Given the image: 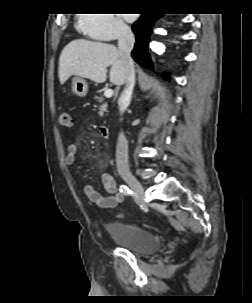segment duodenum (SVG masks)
<instances>
[{
    "label": "duodenum",
    "mask_w": 252,
    "mask_h": 303,
    "mask_svg": "<svg viewBox=\"0 0 252 303\" xmlns=\"http://www.w3.org/2000/svg\"><path fill=\"white\" fill-rule=\"evenodd\" d=\"M100 136L107 138L109 136V127L107 125H101L99 127Z\"/></svg>",
    "instance_id": "1"
}]
</instances>
